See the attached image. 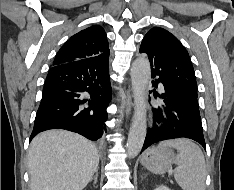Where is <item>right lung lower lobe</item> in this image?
I'll use <instances>...</instances> for the list:
<instances>
[{
    "label": "right lung lower lobe",
    "mask_w": 234,
    "mask_h": 190,
    "mask_svg": "<svg viewBox=\"0 0 234 190\" xmlns=\"http://www.w3.org/2000/svg\"><path fill=\"white\" fill-rule=\"evenodd\" d=\"M110 101L109 57L53 66L44 84L30 140L45 130L66 129L96 141L106 131Z\"/></svg>",
    "instance_id": "1"
}]
</instances>
